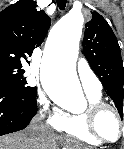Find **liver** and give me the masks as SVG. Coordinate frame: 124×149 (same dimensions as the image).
I'll use <instances>...</instances> for the list:
<instances>
[{"mask_svg":"<svg viewBox=\"0 0 124 149\" xmlns=\"http://www.w3.org/2000/svg\"><path fill=\"white\" fill-rule=\"evenodd\" d=\"M57 137L42 128L38 131L26 129L19 133L0 137V149H53L56 146ZM72 149H89L78 143Z\"/></svg>","mask_w":124,"mask_h":149,"instance_id":"liver-1","label":"liver"}]
</instances>
